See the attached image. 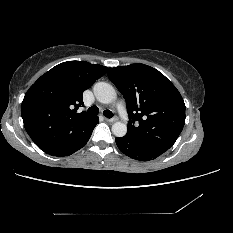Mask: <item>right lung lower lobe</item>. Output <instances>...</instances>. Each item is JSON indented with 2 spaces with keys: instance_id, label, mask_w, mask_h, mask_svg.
Listing matches in <instances>:
<instances>
[{
  "instance_id": "1",
  "label": "right lung lower lobe",
  "mask_w": 233,
  "mask_h": 233,
  "mask_svg": "<svg viewBox=\"0 0 233 233\" xmlns=\"http://www.w3.org/2000/svg\"><path fill=\"white\" fill-rule=\"evenodd\" d=\"M97 123H98V117L95 116V118L93 119L91 124L88 126L86 131L79 137V139L72 146H70L69 148H67V149H65L57 154H54L52 156H59V157L68 156V155L73 154L74 152H76L80 148H82L89 140V138L92 134V131H93L94 127L97 125Z\"/></svg>"
}]
</instances>
